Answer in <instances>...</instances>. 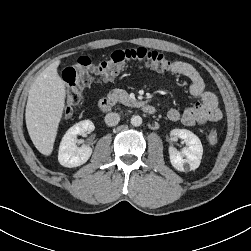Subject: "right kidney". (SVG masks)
Instances as JSON below:
<instances>
[{
    "instance_id": "obj_1",
    "label": "right kidney",
    "mask_w": 251,
    "mask_h": 251,
    "mask_svg": "<svg viewBox=\"0 0 251 251\" xmlns=\"http://www.w3.org/2000/svg\"><path fill=\"white\" fill-rule=\"evenodd\" d=\"M95 126L90 120H83L73 125L62 138L58 151L59 163L68 168L78 167L87 162L92 154L89 146L77 147V135L92 132Z\"/></svg>"
}]
</instances>
